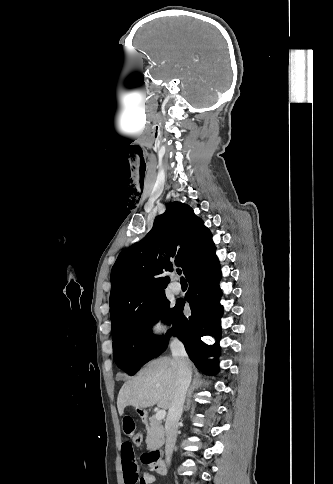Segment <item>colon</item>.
I'll list each match as a JSON object with an SVG mask.
<instances>
[{"instance_id":"obj_1","label":"colon","mask_w":333,"mask_h":484,"mask_svg":"<svg viewBox=\"0 0 333 484\" xmlns=\"http://www.w3.org/2000/svg\"><path fill=\"white\" fill-rule=\"evenodd\" d=\"M133 442L135 445L140 446L143 443V435L141 433H136L133 436Z\"/></svg>"}]
</instances>
